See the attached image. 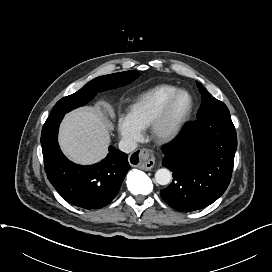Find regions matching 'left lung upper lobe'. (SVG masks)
<instances>
[{
    "label": "left lung upper lobe",
    "instance_id": "5c2ea615",
    "mask_svg": "<svg viewBox=\"0 0 272 272\" xmlns=\"http://www.w3.org/2000/svg\"><path fill=\"white\" fill-rule=\"evenodd\" d=\"M197 86L202 95V103L197 114V120L219 114H229L227 106L214 98L199 82Z\"/></svg>",
    "mask_w": 272,
    "mask_h": 272
}]
</instances>
